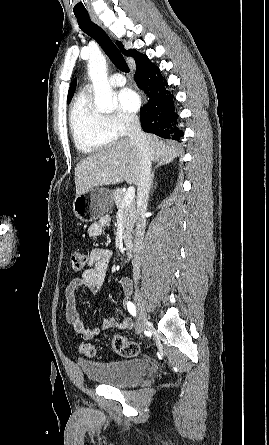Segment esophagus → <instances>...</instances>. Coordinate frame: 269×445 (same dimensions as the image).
Wrapping results in <instances>:
<instances>
[{"instance_id": "esophagus-1", "label": "esophagus", "mask_w": 269, "mask_h": 445, "mask_svg": "<svg viewBox=\"0 0 269 445\" xmlns=\"http://www.w3.org/2000/svg\"><path fill=\"white\" fill-rule=\"evenodd\" d=\"M91 18H92V20H93L96 24L101 25V22L99 21V19H98L95 15H92Z\"/></svg>"}]
</instances>
